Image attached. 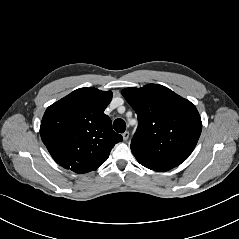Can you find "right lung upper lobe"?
Segmentation results:
<instances>
[{
    "mask_svg": "<svg viewBox=\"0 0 239 239\" xmlns=\"http://www.w3.org/2000/svg\"><path fill=\"white\" fill-rule=\"evenodd\" d=\"M111 91L80 88L47 108L40 135L53 159L78 174L97 169L122 136L104 110Z\"/></svg>",
    "mask_w": 239,
    "mask_h": 239,
    "instance_id": "obj_1",
    "label": "right lung upper lobe"
}]
</instances>
